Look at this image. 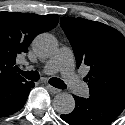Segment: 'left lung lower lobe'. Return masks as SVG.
<instances>
[{"mask_svg":"<svg viewBox=\"0 0 125 125\" xmlns=\"http://www.w3.org/2000/svg\"><path fill=\"white\" fill-rule=\"evenodd\" d=\"M75 109L61 118L70 125H110L125 109V99L114 95H73Z\"/></svg>","mask_w":125,"mask_h":125,"instance_id":"obj_1","label":"left lung lower lobe"}]
</instances>
